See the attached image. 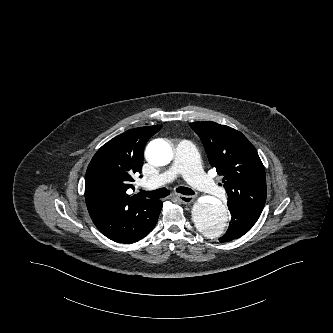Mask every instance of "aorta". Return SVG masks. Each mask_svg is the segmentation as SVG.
<instances>
[{
    "instance_id": "1",
    "label": "aorta",
    "mask_w": 333,
    "mask_h": 333,
    "mask_svg": "<svg viewBox=\"0 0 333 333\" xmlns=\"http://www.w3.org/2000/svg\"><path fill=\"white\" fill-rule=\"evenodd\" d=\"M172 157V148L164 140L152 141L147 146L146 158L153 166H166L171 162ZM192 218L196 228L210 238L223 235L229 225V213L226 206L213 199L196 202L192 208Z\"/></svg>"
}]
</instances>
